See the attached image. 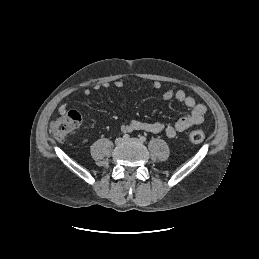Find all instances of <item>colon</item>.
<instances>
[{
  "instance_id": "colon-1",
  "label": "colon",
  "mask_w": 259,
  "mask_h": 259,
  "mask_svg": "<svg viewBox=\"0 0 259 259\" xmlns=\"http://www.w3.org/2000/svg\"><path fill=\"white\" fill-rule=\"evenodd\" d=\"M82 117L79 112L75 110L66 111L64 114L51 122L50 132L54 138L63 142L68 136L72 135L75 130L80 126ZM205 134L201 129L192 130L188 139L193 144H200L204 141Z\"/></svg>"
}]
</instances>
